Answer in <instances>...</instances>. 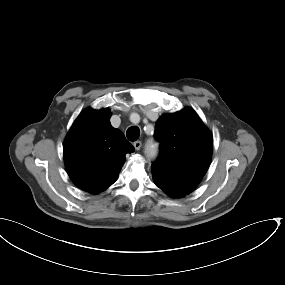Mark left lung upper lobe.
I'll return each instance as SVG.
<instances>
[{
  "label": "left lung upper lobe",
  "instance_id": "1",
  "mask_svg": "<svg viewBox=\"0 0 285 285\" xmlns=\"http://www.w3.org/2000/svg\"><path fill=\"white\" fill-rule=\"evenodd\" d=\"M154 135L160 142V154L151 170L198 185L210 165L213 137L197 113L185 108L162 115Z\"/></svg>",
  "mask_w": 285,
  "mask_h": 285
}]
</instances>
